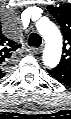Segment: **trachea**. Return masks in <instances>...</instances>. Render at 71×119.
Listing matches in <instances>:
<instances>
[{"mask_svg": "<svg viewBox=\"0 0 71 119\" xmlns=\"http://www.w3.org/2000/svg\"><path fill=\"white\" fill-rule=\"evenodd\" d=\"M41 42H42V39L40 37L39 34L37 33H32L30 36H29V39H28V44L29 46H33V47H39L41 45Z\"/></svg>", "mask_w": 71, "mask_h": 119, "instance_id": "1", "label": "trachea"}]
</instances>
